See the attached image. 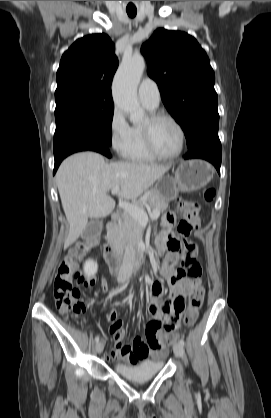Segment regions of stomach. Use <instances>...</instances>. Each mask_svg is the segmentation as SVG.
I'll return each mask as SVG.
<instances>
[{"label":"stomach","mask_w":271,"mask_h":418,"mask_svg":"<svg viewBox=\"0 0 271 418\" xmlns=\"http://www.w3.org/2000/svg\"><path fill=\"white\" fill-rule=\"evenodd\" d=\"M213 174L211 164L206 161H183L177 167L174 177H161L157 180L154 190L168 202L174 200L180 191L191 192L203 188L211 181Z\"/></svg>","instance_id":"obj_1"}]
</instances>
